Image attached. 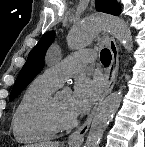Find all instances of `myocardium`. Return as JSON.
Instances as JSON below:
<instances>
[{
  "label": "myocardium",
  "mask_w": 145,
  "mask_h": 147,
  "mask_svg": "<svg viewBox=\"0 0 145 147\" xmlns=\"http://www.w3.org/2000/svg\"><path fill=\"white\" fill-rule=\"evenodd\" d=\"M48 106L52 119L60 127V129H68L76 125L77 119L75 116L67 117L62 114L58 108L56 96L50 99Z\"/></svg>",
  "instance_id": "f54148a6"
}]
</instances>
